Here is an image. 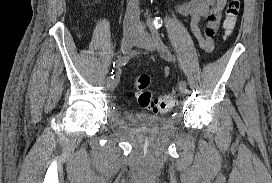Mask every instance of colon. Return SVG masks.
I'll return each instance as SVG.
<instances>
[{
  "label": "colon",
  "instance_id": "obj_1",
  "mask_svg": "<svg viewBox=\"0 0 272 183\" xmlns=\"http://www.w3.org/2000/svg\"><path fill=\"white\" fill-rule=\"evenodd\" d=\"M240 11V0H229L225 20L223 23V31L225 36H229L236 25L237 18ZM151 84V77L147 74L138 76L134 82V87L137 92V99L141 107L152 109L159 113H165L171 110L176 104V95L165 94L159 97H154L148 90Z\"/></svg>",
  "mask_w": 272,
  "mask_h": 183
}]
</instances>
